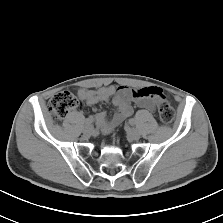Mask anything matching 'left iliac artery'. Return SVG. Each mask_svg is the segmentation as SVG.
Segmentation results:
<instances>
[{
	"mask_svg": "<svg viewBox=\"0 0 223 223\" xmlns=\"http://www.w3.org/2000/svg\"><path fill=\"white\" fill-rule=\"evenodd\" d=\"M129 123H130V125L134 126V125H136V120L135 119H130Z\"/></svg>",
	"mask_w": 223,
	"mask_h": 223,
	"instance_id": "left-iliac-artery-1",
	"label": "left iliac artery"
}]
</instances>
